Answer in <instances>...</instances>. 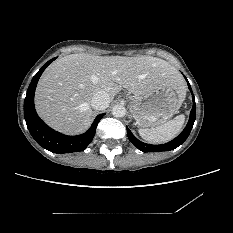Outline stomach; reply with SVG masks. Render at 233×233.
Segmentation results:
<instances>
[{"instance_id": "1", "label": "stomach", "mask_w": 233, "mask_h": 233, "mask_svg": "<svg viewBox=\"0 0 233 233\" xmlns=\"http://www.w3.org/2000/svg\"><path fill=\"white\" fill-rule=\"evenodd\" d=\"M180 105L176 90L163 86L144 95L130 97V111L138 127L154 128L166 123Z\"/></svg>"}]
</instances>
